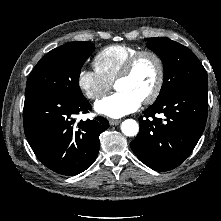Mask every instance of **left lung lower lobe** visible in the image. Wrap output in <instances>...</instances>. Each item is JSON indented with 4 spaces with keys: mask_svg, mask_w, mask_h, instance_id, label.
I'll return each instance as SVG.
<instances>
[{
    "mask_svg": "<svg viewBox=\"0 0 221 221\" xmlns=\"http://www.w3.org/2000/svg\"><path fill=\"white\" fill-rule=\"evenodd\" d=\"M207 84L183 87L151 105L139 119L140 132L131 148L145 165L156 171L179 166L193 151L207 119ZM164 114V120L156 114ZM148 117H152L149 120Z\"/></svg>",
    "mask_w": 221,
    "mask_h": 221,
    "instance_id": "left-lung-lower-lobe-1",
    "label": "left lung lower lobe"
}]
</instances>
